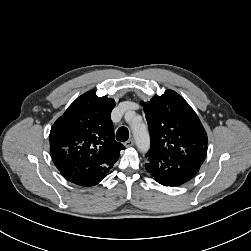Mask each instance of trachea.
<instances>
[{"mask_svg": "<svg viewBox=\"0 0 251 251\" xmlns=\"http://www.w3.org/2000/svg\"><path fill=\"white\" fill-rule=\"evenodd\" d=\"M129 138V131L126 127H120L116 132V139L120 142H125Z\"/></svg>", "mask_w": 251, "mask_h": 251, "instance_id": "1", "label": "trachea"}]
</instances>
